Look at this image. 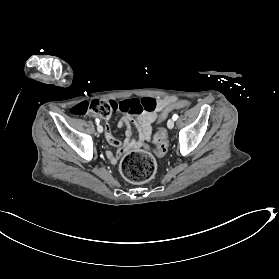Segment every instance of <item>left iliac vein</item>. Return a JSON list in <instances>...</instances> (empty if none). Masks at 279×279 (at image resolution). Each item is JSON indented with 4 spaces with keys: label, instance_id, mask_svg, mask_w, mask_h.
<instances>
[{
    "label": "left iliac vein",
    "instance_id": "4c4485c4",
    "mask_svg": "<svg viewBox=\"0 0 279 279\" xmlns=\"http://www.w3.org/2000/svg\"><path fill=\"white\" fill-rule=\"evenodd\" d=\"M167 126L169 129H172L174 127V120L173 119H169L167 122Z\"/></svg>",
    "mask_w": 279,
    "mask_h": 279
}]
</instances>
